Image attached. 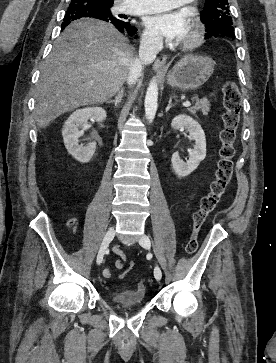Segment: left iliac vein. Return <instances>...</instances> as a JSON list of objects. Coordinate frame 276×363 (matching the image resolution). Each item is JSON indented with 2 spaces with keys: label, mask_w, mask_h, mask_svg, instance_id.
Masks as SVG:
<instances>
[{
  "label": "left iliac vein",
  "mask_w": 276,
  "mask_h": 363,
  "mask_svg": "<svg viewBox=\"0 0 276 363\" xmlns=\"http://www.w3.org/2000/svg\"><path fill=\"white\" fill-rule=\"evenodd\" d=\"M140 245L145 249H150L151 241L148 236L143 235L139 241ZM154 276L157 280H161L162 278V271L159 266H155L154 269Z\"/></svg>",
  "instance_id": "1"
}]
</instances>
